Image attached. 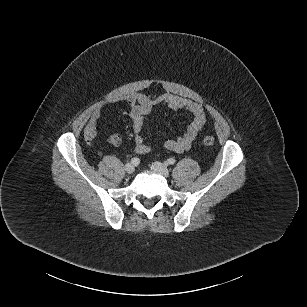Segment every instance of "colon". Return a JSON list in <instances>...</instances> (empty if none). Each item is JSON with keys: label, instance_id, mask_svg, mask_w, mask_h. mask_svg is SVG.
I'll list each match as a JSON object with an SVG mask.
<instances>
[{"label": "colon", "instance_id": "obj_1", "mask_svg": "<svg viewBox=\"0 0 307 307\" xmlns=\"http://www.w3.org/2000/svg\"><path fill=\"white\" fill-rule=\"evenodd\" d=\"M109 141L113 145H118L121 141V137L118 134H114V135L110 136ZM214 142H215L214 137H212L210 135L204 136V138H203V143L207 146L213 145Z\"/></svg>", "mask_w": 307, "mask_h": 307}]
</instances>
